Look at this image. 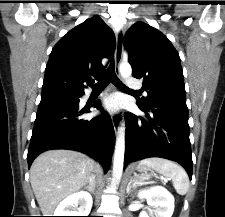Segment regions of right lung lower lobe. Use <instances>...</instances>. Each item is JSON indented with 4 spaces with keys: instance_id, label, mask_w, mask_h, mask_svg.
<instances>
[{
    "instance_id": "1",
    "label": "right lung lower lobe",
    "mask_w": 225,
    "mask_h": 217,
    "mask_svg": "<svg viewBox=\"0 0 225 217\" xmlns=\"http://www.w3.org/2000/svg\"><path fill=\"white\" fill-rule=\"evenodd\" d=\"M93 107L102 110L99 101ZM85 112L89 110H79V99L41 101L28 149V166L44 151L71 149L100 161L106 172L115 138L111 118L102 111L91 120L80 119Z\"/></svg>"
}]
</instances>
